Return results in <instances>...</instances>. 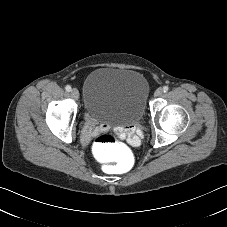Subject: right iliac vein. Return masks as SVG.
Instances as JSON below:
<instances>
[{
  "label": "right iliac vein",
  "instance_id": "obj_1",
  "mask_svg": "<svg viewBox=\"0 0 227 227\" xmlns=\"http://www.w3.org/2000/svg\"><path fill=\"white\" fill-rule=\"evenodd\" d=\"M71 95L74 99H78L79 98V91L76 88H73L71 90Z\"/></svg>",
  "mask_w": 227,
  "mask_h": 227
}]
</instances>
